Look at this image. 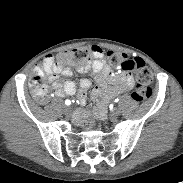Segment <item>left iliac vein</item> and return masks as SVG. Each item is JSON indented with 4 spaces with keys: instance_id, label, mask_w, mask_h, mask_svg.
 I'll return each mask as SVG.
<instances>
[{
    "instance_id": "left-iliac-vein-1",
    "label": "left iliac vein",
    "mask_w": 183,
    "mask_h": 183,
    "mask_svg": "<svg viewBox=\"0 0 183 183\" xmlns=\"http://www.w3.org/2000/svg\"><path fill=\"white\" fill-rule=\"evenodd\" d=\"M113 114L114 115H120L121 114V109L119 108V107H115L114 109H113Z\"/></svg>"
}]
</instances>
